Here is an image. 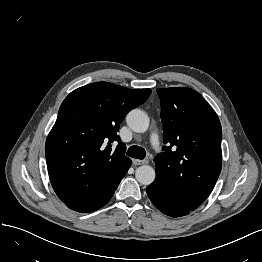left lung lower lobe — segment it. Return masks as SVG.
I'll use <instances>...</instances> for the list:
<instances>
[{
  "label": "left lung lower lobe",
  "instance_id": "obj_1",
  "mask_svg": "<svg viewBox=\"0 0 262 262\" xmlns=\"http://www.w3.org/2000/svg\"><path fill=\"white\" fill-rule=\"evenodd\" d=\"M147 194L153 205L168 216L181 217L188 215L191 212L172 201L165 193L160 191V189L155 185V182L147 187Z\"/></svg>",
  "mask_w": 262,
  "mask_h": 262
}]
</instances>
